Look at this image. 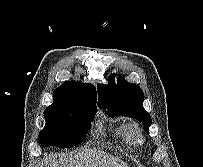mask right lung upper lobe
Listing matches in <instances>:
<instances>
[{"instance_id":"1","label":"right lung upper lobe","mask_w":203,"mask_h":167,"mask_svg":"<svg viewBox=\"0 0 203 167\" xmlns=\"http://www.w3.org/2000/svg\"><path fill=\"white\" fill-rule=\"evenodd\" d=\"M53 103L45 111L60 109L78 102H97V93L93 85H83L80 81H66L54 90Z\"/></svg>"}]
</instances>
